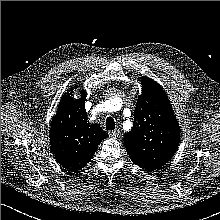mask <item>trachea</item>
<instances>
[{
    "label": "trachea",
    "mask_w": 220,
    "mask_h": 220,
    "mask_svg": "<svg viewBox=\"0 0 220 220\" xmlns=\"http://www.w3.org/2000/svg\"><path fill=\"white\" fill-rule=\"evenodd\" d=\"M115 129V122L112 117H108L106 119V130H114Z\"/></svg>",
    "instance_id": "3493384b"
}]
</instances>
